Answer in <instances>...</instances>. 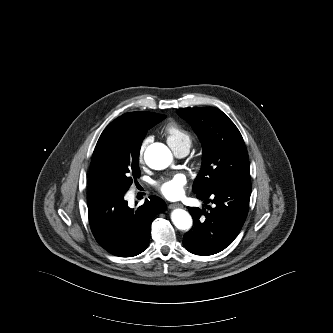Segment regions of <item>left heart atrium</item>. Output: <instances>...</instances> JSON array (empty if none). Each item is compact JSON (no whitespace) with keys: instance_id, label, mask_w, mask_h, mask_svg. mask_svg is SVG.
Instances as JSON below:
<instances>
[{"instance_id":"1","label":"left heart atrium","mask_w":333,"mask_h":333,"mask_svg":"<svg viewBox=\"0 0 333 333\" xmlns=\"http://www.w3.org/2000/svg\"><path fill=\"white\" fill-rule=\"evenodd\" d=\"M185 185L186 177L179 173L171 178L158 182L156 187L166 198L177 199L184 194Z\"/></svg>"}]
</instances>
